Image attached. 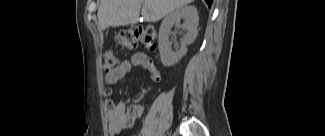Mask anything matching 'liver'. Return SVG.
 Returning a JSON list of instances; mask_svg holds the SVG:
<instances>
[{"label": "liver", "instance_id": "obj_1", "mask_svg": "<svg viewBox=\"0 0 325 136\" xmlns=\"http://www.w3.org/2000/svg\"><path fill=\"white\" fill-rule=\"evenodd\" d=\"M193 0H100L98 25L101 30L108 27L136 24L140 11L146 22H157L176 8Z\"/></svg>", "mask_w": 325, "mask_h": 136}]
</instances>
